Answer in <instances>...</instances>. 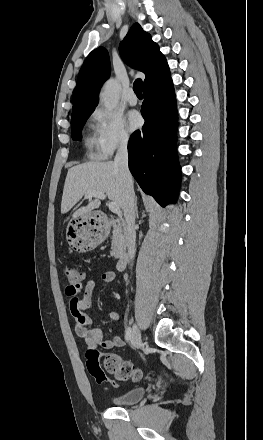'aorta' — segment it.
Here are the masks:
<instances>
[{"label": "aorta", "mask_w": 263, "mask_h": 440, "mask_svg": "<svg viewBox=\"0 0 263 440\" xmlns=\"http://www.w3.org/2000/svg\"><path fill=\"white\" fill-rule=\"evenodd\" d=\"M120 98V84L116 79H109L103 86L100 99L108 110L114 109Z\"/></svg>", "instance_id": "762f6f07"}]
</instances>
